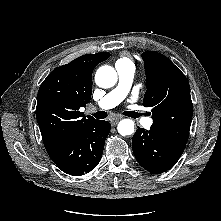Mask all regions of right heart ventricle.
<instances>
[{
	"mask_svg": "<svg viewBox=\"0 0 221 221\" xmlns=\"http://www.w3.org/2000/svg\"><path fill=\"white\" fill-rule=\"evenodd\" d=\"M118 65H133V62L128 56L123 55L121 58H119L116 61L115 66H118Z\"/></svg>",
	"mask_w": 221,
	"mask_h": 221,
	"instance_id": "e07e8e85",
	"label": "right heart ventricle"
}]
</instances>
